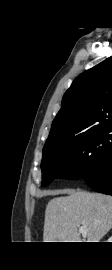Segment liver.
I'll return each instance as SVG.
<instances>
[{
	"instance_id": "1",
	"label": "liver",
	"mask_w": 112,
	"mask_h": 270,
	"mask_svg": "<svg viewBox=\"0 0 112 270\" xmlns=\"http://www.w3.org/2000/svg\"><path fill=\"white\" fill-rule=\"evenodd\" d=\"M68 194L49 201L45 210L43 242H99L112 228V196L85 191L60 190Z\"/></svg>"
}]
</instances>
